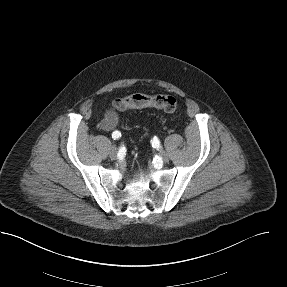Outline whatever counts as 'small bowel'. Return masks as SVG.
I'll list each match as a JSON object with an SVG mask.
<instances>
[{"mask_svg": "<svg viewBox=\"0 0 287 287\" xmlns=\"http://www.w3.org/2000/svg\"><path fill=\"white\" fill-rule=\"evenodd\" d=\"M119 124V117L115 110L109 109L100 122V128L104 131L116 132ZM119 132V131H118Z\"/></svg>", "mask_w": 287, "mask_h": 287, "instance_id": "1", "label": "small bowel"}]
</instances>
